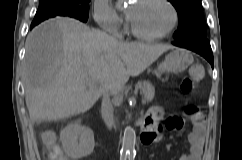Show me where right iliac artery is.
<instances>
[{"label":"right iliac artery","instance_id":"obj_1","mask_svg":"<svg viewBox=\"0 0 242 160\" xmlns=\"http://www.w3.org/2000/svg\"><path fill=\"white\" fill-rule=\"evenodd\" d=\"M120 160H126V158H120Z\"/></svg>","mask_w":242,"mask_h":160}]
</instances>
